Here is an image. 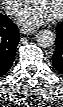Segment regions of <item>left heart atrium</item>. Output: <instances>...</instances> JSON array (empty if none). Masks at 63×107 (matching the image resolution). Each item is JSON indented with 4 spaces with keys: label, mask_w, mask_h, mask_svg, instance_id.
I'll use <instances>...</instances> for the list:
<instances>
[{
    "label": "left heart atrium",
    "mask_w": 63,
    "mask_h": 107,
    "mask_svg": "<svg viewBox=\"0 0 63 107\" xmlns=\"http://www.w3.org/2000/svg\"><path fill=\"white\" fill-rule=\"evenodd\" d=\"M51 14L38 6L37 4L33 3L26 6L20 13L19 19L20 21L28 26L39 25L51 18Z\"/></svg>",
    "instance_id": "left-heart-atrium-1"
}]
</instances>
